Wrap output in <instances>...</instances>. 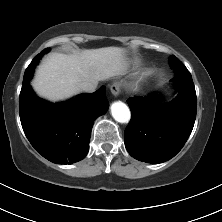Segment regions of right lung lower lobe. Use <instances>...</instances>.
I'll use <instances>...</instances> for the list:
<instances>
[{
	"instance_id": "1",
	"label": "right lung lower lobe",
	"mask_w": 222,
	"mask_h": 222,
	"mask_svg": "<svg viewBox=\"0 0 222 222\" xmlns=\"http://www.w3.org/2000/svg\"><path fill=\"white\" fill-rule=\"evenodd\" d=\"M108 106L104 86L94 93L51 104L37 98L28 81L22 83L19 97L20 120L27 139L43 157L58 164L75 163L86 156L93 121Z\"/></svg>"
}]
</instances>
